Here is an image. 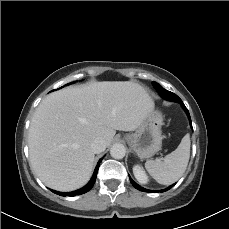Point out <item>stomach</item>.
Listing matches in <instances>:
<instances>
[{"mask_svg":"<svg viewBox=\"0 0 229 229\" xmlns=\"http://www.w3.org/2000/svg\"><path fill=\"white\" fill-rule=\"evenodd\" d=\"M163 116L154 109L146 116L137 130L125 137L140 159L151 158L162 146L161 126Z\"/></svg>","mask_w":229,"mask_h":229,"instance_id":"obj_1","label":"stomach"}]
</instances>
